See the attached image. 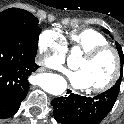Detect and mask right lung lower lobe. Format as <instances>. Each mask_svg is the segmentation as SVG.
Wrapping results in <instances>:
<instances>
[{
  "label": "right lung lower lobe",
  "instance_id": "98d812e1",
  "mask_svg": "<svg viewBox=\"0 0 124 124\" xmlns=\"http://www.w3.org/2000/svg\"><path fill=\"white\" fill-rule=\"evenodd\" d=\"M37 47L31 36L0 35V119L14 115L27 95Z\"/></svg>",
  "mask_w": 124,
  "mask_h": 124
}]
</instances>
